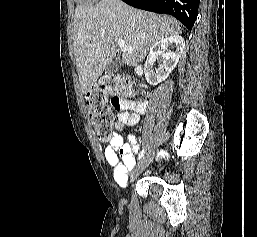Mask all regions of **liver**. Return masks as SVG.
I'll return each instance as SVG.
<instances>
[{
	"mask_svg": "<svg viewBox=\"0 0 257 237\" xmlns=\"http://www.w3.org/2000/svg\"><path fill=\"white\" fill-rule=\"evenodd\" d=\"M180 33L181 27L173 17L134 9L121 0L78 5L73 41L82 93L90 90L116 56L118 39L131 48L123 50V63L134 67L144 60L156 42Z\"/></svg>",
	"mask_w": 257,
	"mask_h": 237,
	"instance_id": "liver-1",
	"label": "liver"
}]
</instances>
